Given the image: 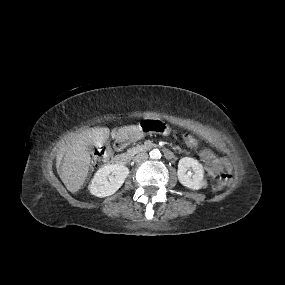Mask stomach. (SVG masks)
Masks as SVG:
<instances>
[{
	"label": "stomach",
	"instance_id": "obj_1",
	"mask_svg": "<svg viewBox=\"0 0 285 285\" xmlns=\"http://www.w3.org/2000/svg\"><path fill=\"white\" fill-rule=\"evenodd\" d=\"M160 121H151V120H143L141 121V123L137 126L138 127V130L136 133H134L132 136H129L132 140H136V139H139L141 137H143L144 135L146 134H149V133H153L155 132L153 130V127L155 125H158L160 126L159 124ZM163 129L164 130H167L166 128V125L163 124Z\"/></svg>",
	"mask_w": 285,
	"mask_h": 285
}]
</instances>
